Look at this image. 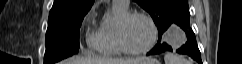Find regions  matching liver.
<instances>
[{
    "mask_svg": "<svg viewBox=\"0 0 242 64\" xmlns=\"http://www.w3.org/2000/svg\"><path fill=\"white\" fill-rule=\"evenodd\" d=\"M147 61H149V59L145 57H138V58H131V59L74 57L66 61H63L60 64H142Z\"/></svg>",
    "mask_w": 242,
    "mask_h": 64,
    "instance_id": "1",
    "label": "liver"
}]
</instances>
